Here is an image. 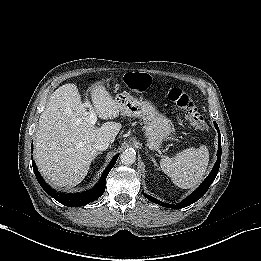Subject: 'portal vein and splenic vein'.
<instances>
[{
	"mask_svg": "<svg viewBox=\"0 0 261 261\" xmlns=\"http://www.w3.org/2000/svg\"><path fill=\"white\" fill-rule=\"evenodd\" d=\"M86 106L90 107V104L86 103ZM90 113L91 114H90V117H89V121H90L91 124L95 125V123L97 122V115H96L95 111L91 110V109H90Z\"/></svg>",
	"mask_w": 261,
	"mask_h": 261,
	"instance_id": "18ae733b",
	"label": "portal vein and splenic vein"
}]
</instances>
